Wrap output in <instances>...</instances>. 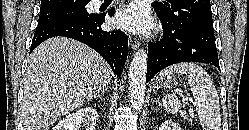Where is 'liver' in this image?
<instances>
[{
    "instance_id": "1",
    "label": "liver",
    "mask_w": 249,
    "mask_h": 130,
    "mask_svg": "<svg viewBox=\"0 0 249 130\" xmlns=\"http://www.w3.org/2000/svg\"><path fill=\"white\" fill-rule=\"evenodd\" d=\"M112 70L93 49L55 37L30 55L21 104L24 130H48L59 118L107 89Z\"/></svg>"
}]
</instances>
